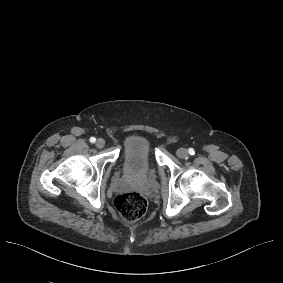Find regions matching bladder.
Listing matches in <instances>:
<instances>
[{
  "label": "bladder",
  "instance_id": "obj_1",
  "mask_svg": "<svg viewBox=\"0 0 283 283\" xmlns=\"http://www.w3.org/2000/svg\"><path fill=\"white\" fill-rule=\"evenodd\" d=\"M150 154L151 148L149 139L140 135H132L127 138L122 157V165L132 170V174L142 175L146 173L144 161Z\"/></svg>",
  "mask_w": 283,
  "mask_h": 283
}]
</instances>
